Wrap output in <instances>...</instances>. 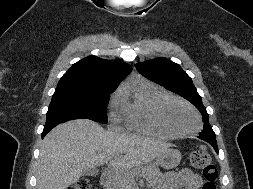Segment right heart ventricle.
Segmentation results:
<instances>
[{
  "label": "right heart ventricle",
  "mask_w": 253,
  "mask_h": 189,
  "mask_svg": "<svg viewBox=\"0 0 253 189\" xmlns=\"http://www.w3.org/2000/svg\"><path fill=\"white\" fill-rule=\"evenodd\" d=\"M164 95L166 93L163 90L146 82L139 83L124 91V121L127 128L150 135L170 136L156 126L152 119L153 106Z\"/></svg>",
  "instance_id": "1"
}]
</instances>
